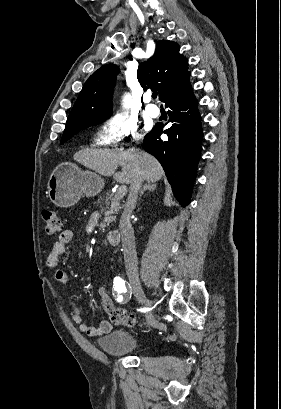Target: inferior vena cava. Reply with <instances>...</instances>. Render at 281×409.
Listing matches in <instances>:
<instances>
[{"mask_svg":"<svg viewBox=\"0 0 281 409\" xmlns=\"http://www.w3.org/2000/svg\"><path fill=\"white\" fill-rule=\"evenodd\" d=\"M143 178L144 172L140 170L139 162H136L134 178L129 188L130 200H136ZM130 215L131 211H125V213H123L120 219L119 229L122 239L126 275L129 281H139L135 237L130 223Z\"/></svg>","mask_w":281,"mask_h":409,"instance_id":"inferior-vena-cava-1","label":"inferior vena cava"}]
</instances>
